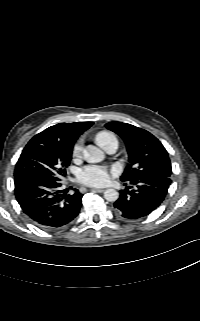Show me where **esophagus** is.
Masks as SVG:
<instances>
[{
	"label": "esophagus",
	"mask_w": 200,
	"mask_h": 321,
	"mask_svg": "<svg viewBox=\"0 0 200 321\" xmlns=\"http://www.w3.org/2000/svg\"><path fill=\"white\" fill-rule=\"evenodd\" d=\"M97 192H101V190H96Z\"/></svg>",
	"instance_id": "34e87169"
}]
</instances>
